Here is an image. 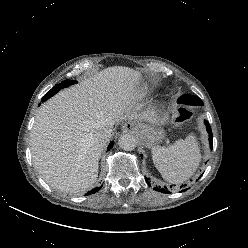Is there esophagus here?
Wrapping results in <instances>:
<instances>
[{"mask_svg": "<svg viewBox=\"0 0 248 248\" xmlns=\"http://www.w3.org/2000/svg\"><path fill=\"white\" fill-rule=\"evenodd\" d=\"M133 128H134V125H133V123H131V122H126V123H124L123 126H122V130H123L124 132L132 131Z\"/></svg>", "mask_w": 248, "mask_h": 248, "instance_id": "1", "label": "esophagus"}]
</instances>
